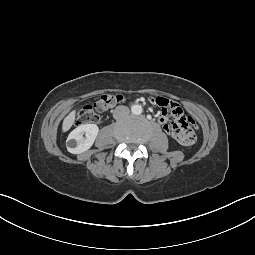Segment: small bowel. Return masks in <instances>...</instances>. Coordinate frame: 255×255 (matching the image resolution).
<instances>
[{
    "label": "small bowel",
    "instance_id": "c3829d8e",
    "mask_svg": "<svg viewBox=\"0 0 255 255\" xmlns=\"http://www.w3.org/2000/svg\"><path fill=\"white\" fill-rule=\"evenodd\" d=\"M150 102L156 110H161L158 116V121L162 125L166 134L172 140H178L180 144L191 146L197 139V134L190 127L183 111L178 104L171 102L165 96H151Z\"/></svg>",
    "mask_w": 255,
    "mask_h": 255
}]
</instances>
